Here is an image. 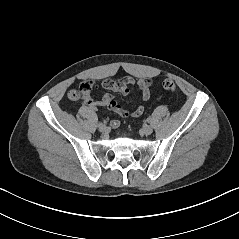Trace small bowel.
<instances>
[{
	"label": "small bowel",
	"instance_id": "small-bowel-1",
	"mask_svg": "<svg viewBox=\"0 0 239 239\" xmlns=\"http://www.w3.org/2000/svg\"><path fill=\"white\" fill-rule=\"evenodd\" d=\"M90 82L92 84V87L95 88V83L92 81H86ZM84 82V83H86ZM82 83V84H84ZM81 84V85H82ZM152 84V80L149 78L141 79L138 82H136L132 77H124L120 80H111L106 79L104 80L101 85L104 89L120 92L121 94L128 96L132 92L140 93L142 97V101L146 102L150 99V86ZM84 102L88 105L91 109H97L99 107H107L112 112L117 113L123 118L127 117H140L144 113V106L139 105L136 107L133 111L129 112L128 110L124 109L120 104H118L116 101H114L113 96L111 94H105L101 100H94L89 95ZM121 122L119 119H113L110 121V126L112 128H118L120 126Z\"/></svg>",
	"mask_w": 239,
	"mask_h": 239
}]
</instances>
